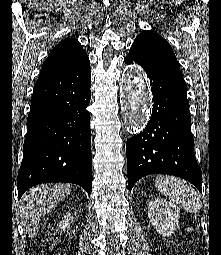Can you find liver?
Here are the masks:
<instances>
[{
  "mask_svg": "<svg viewBox=\"0 0 221 255\" xmlns=\"http://www.w3.org/2000/svg\"><path fill=\"white\" fill-rule=\"evenodd\" d=\"M70 192L69 184H42L22 196L16 212L29 238L34 237L41 218Z\"/></svg>",
  "mask_w": 221,
  "mask_h": 255,
  "instance_id": "6515ba94",
  "label": "liver"
}]
</instances>
